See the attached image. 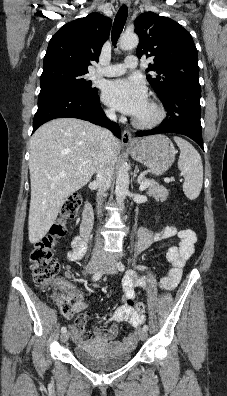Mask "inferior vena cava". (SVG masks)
I'll return each instance as SVG.
<instances>
[{
    "label": "inferior vena cava",
    "instance_id": "obj_1",
    "mask_svg": "<svg viewBox=\"0 0 227 396\" xmlns=\"http://www.w3.org/2000/svg\"><path fill=\"white\" fill-rule=\"evenodd\" d=\"M106 116L112 120H116L115 111L110 109L105 111ZM114 136L113 134L106 129L101 131V152L99 155L98 166L96 169V185L98 187L97 193V209L98 214L101 213L100 206L102 203V197L105 192L109 189L114 173V166L116 163V157L112 150V140ZM95 255H103L104 252L102 250V242L100 238H96V244L94 249Z\"/></svg>",
    "mask_w": 227,
    "mask_h": 396
}]
</instances>
